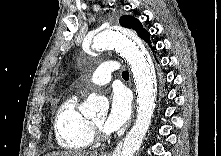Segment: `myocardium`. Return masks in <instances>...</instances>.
Returning <instances> with one entry per match:
<instances>
[{
	"instance_id": "obj_1",
	"label": "myocardium",
	"mask_w": 221,
	"mask_h": 156,
	"mask_svg": "<svg viewBox=\"0 0 221 156\" xmlns=\"http://www.w3.org/2000/svg\"><path fill=\"white\" fill-rule=\"evenodd\" d=\"M92 134L93 138L97 140H104L108 138L107 133L103 130V128L97 125L94 121H91Z\"/></svg>"
}]
</instances>
